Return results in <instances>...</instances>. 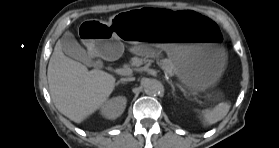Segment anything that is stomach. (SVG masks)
I'll use <instances>...</instances> for the list:
<instances>
[{"label":"stomach","instance_id":"0dacf381","mask_svg":"<svg viewBox=\"0 0 279 148\" xmlns=\"http://www.w3.org/2000/svg\"><path fill=\"white\" fill-rule=\"evenodd\" d=\"M75 39L82 49L111 60L123 53L122 41L136 45L144 40L152 49L167 51L175 75L195 93L214 86L228 65L220 27L198 13L171 6L123 11L109 23L84 19Z\"/></svg>","mask_w":279,"mask_h":148}]
</instances>
